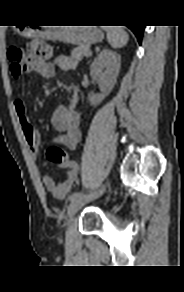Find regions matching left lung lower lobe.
<instances>
[{"label":"left lung lower lobe","instance_id":"left-lung-lower-lobe-1","mask_svg":"<svg viewBox=\"0 0 184 292\" xmlns=\"http://www.w3.org/2000/svg\"><path fill=\"white\" fill-rule=\"evenodd\" d=\"M129 27L133 33L136 35L139 43L141 44L142 41V35H143V31H144V27L145 26H141V25H132V26H127Z\"/></svg>","mask_w":184,"mask_h":292}]
</instances>
